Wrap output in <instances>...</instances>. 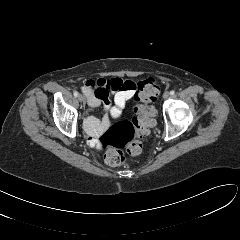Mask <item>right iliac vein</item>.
<instances>
[{
  "mask_svg": "<svg viewBox=\"0 0 240 240\" xmlns=\"http://www.w3.org/2000/svg\"><path fill=\"white\" fill-rule=\"evenodd\" d=\"M78 100H79L80 102H83V101H84V97H83L81 94H79V95H78Z\"/></svg>",
  "mask_w": 240,
  "mask_h": 240,
  "instance_id": "obj_1",
  "label": "right iliac vein"
}]
</instances>
